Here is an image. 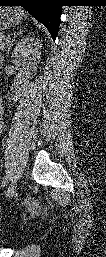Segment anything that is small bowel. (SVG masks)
<instances>
[{
	"label": "small bowel",
	"instance_id": "obj_1",
	"mask_svg": "<svg viewBox=\"0 0 106 257\" xmlns=\"http://www.w3.org/2000/svg\"><path fill=\"white\" fill-rule=\"evenodd\" d=\"M1 117H2V108H1ZM1 119V129H2V118H0Z\"/></svg>",
	"mask_w": 106,
	"mask_h": 257
}]
</instances>
